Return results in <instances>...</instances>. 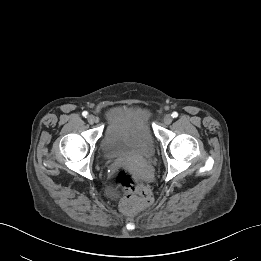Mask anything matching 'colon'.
<instances>
[{"mask_svg": "<svg viewBox=\"0 0 261 261\" xmlns=\"http://www.w3.org/2000/svg\"><path fill=\"white\" fill-rule=\"evenodd\" d=\"M112 181L124 192L120 207L124 212H134L147 207L152 194L147 186L139 182L126 168H119L112 176Z\"/></svg>", "mask_w": 261, "mask_h": 261, "instance_id": "obj_1", "label": "colon"}]
</instances>
